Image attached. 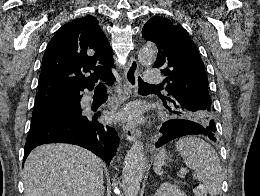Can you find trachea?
Returning <instances> with one entry per match:
<instances>
[{
    "mask_svg": "<svg viewBox=\"0 0 260 196\" xmlns=\"http://www.w3.org/2000/svg\"><path fill=\"white\" fill-rule=\"evenodd\" d=\"M100 86H106L105 83H100ZM163 85H150V83H145L141 78H138V88L148 89V88H162Z\"/></svg>",
    "mask_w": 260,
    "mask_h": 196,
    "instance_id": "obj_1",
    "label": "trachea"
}]
</instances>
